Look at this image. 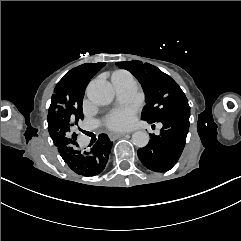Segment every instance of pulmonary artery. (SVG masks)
<instances>
[{
    "label": "pulmonary artery",
    "mask_w": 241,
    "mask_h": 241,
    "mask_svg": "<svg viewBox=\"0 0 241 241\" xmlns=\"http://www.w3.org/2000/svg\"><path fill=\"white\" fill-rule=\"evenodd\" d=\"M112 83L116 89V102L118 105L126 104L133 95V77L127 72L113 74ZM105 115L113 118L118 115L119 109L116 104L110 103L105 106Z\"/></svg>",
    "instance_id": "obj_1"
}]
</instances>
